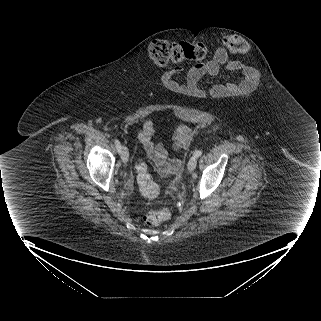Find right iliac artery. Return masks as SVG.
I'll use <instances>...</instances> for the list:
<instances>
[{"mask_svg":"<svg viewBox=\"0 0 321 321\" xmlns=\"http://www.w3.org/2000/svg\"><path fill=\"white\" fill-rule=\"evenodd\" d=\"M115 146H116L118 153H121V144L118 140H115Z\"/></svg>","mask_w":321,"mask_h":321,"instance_id":"right-iliac-artery-1","label":"right iliac artery"}]
</instances>
